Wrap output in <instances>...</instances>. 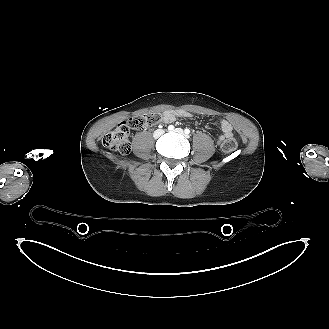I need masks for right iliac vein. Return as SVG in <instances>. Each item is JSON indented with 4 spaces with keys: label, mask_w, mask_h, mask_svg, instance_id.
<instances>
[{
    "label": "right iliac vein",
    "mask_w": 329,
    "mask_h": 329,
    "mask_svg": "<svg viewBox=\"0 0 329 329\" xmlns=\"http://www.w3.org/2000/svg\"><path fill=\"white\" fill-rule=\"evenodd\" d=\"M164 133V131L163 130H157L156 132H155V134H154V136L157 138V137H159L161 134H163Z\"/></svg>",
    "instance_id": "right-iliac-vein-1"
}]
</instances>
